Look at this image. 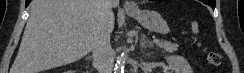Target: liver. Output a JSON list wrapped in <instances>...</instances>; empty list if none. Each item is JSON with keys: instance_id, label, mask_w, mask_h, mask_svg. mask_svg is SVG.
I'll return each instance as SVG.
<instances>
[{"instance_id": "1", "label": "liver", "mask_w": 244, "mask_h": 73, "mask_svg": "<svg viewBox=\"0 0 244 73\" xmlns=\"http://www.w3.org/2000/svg\"><path fill=\"white\" fill-rule=\"evenodd\" d=\"M114 20L105 0H33L10 73H40L83 58L103 26L113 30Z\"/></svg>"}]
</instances>
